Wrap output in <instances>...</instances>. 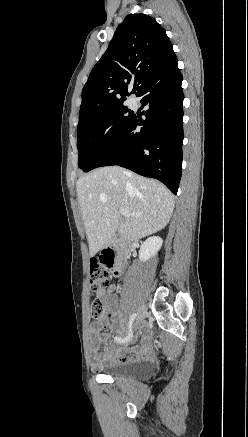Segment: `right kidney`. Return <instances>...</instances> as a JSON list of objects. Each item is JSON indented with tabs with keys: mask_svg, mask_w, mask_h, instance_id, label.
I'll return each instance as SVG.
<instances>
[{
	"mask_svg": "<svg viewBox=\"0 0 248 437\" xmlns=\"http://www.w3.org/2000/svg\"><path fill=\"white\" fill-rule=\"evenodd\" d=\"M163 240L158 236H153L145 240L139 251V259L145 262L155 256L162 246Z\"/></svg>",
	"mask_w": 248,
	"mask_h": 437,
	"instance_id": "right-kidney-1",
	"label": "right kidney"
}]
</instances>
